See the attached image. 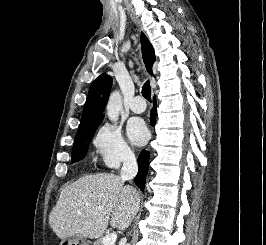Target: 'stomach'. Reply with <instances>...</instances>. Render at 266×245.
I'll return each instance as SVG.
<instances>
[{"label": "stomach", "instance_id": "1", "mask_svg": "<svg viewBox=\"0 0 266 245\" xmlns=\"http://www.w3.org/2000/svg\"><path fill=\"white\" fill-rule=\"evenodd\" d=\"M71 245H89V241H86L84 237H70Z\"/></svg>", "mask_w": 266, "mask_h": 245}]
</instances>
